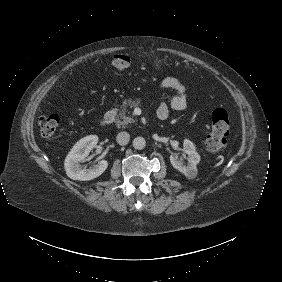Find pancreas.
<instances>
[{
  "label": "pancreas",
  "mask_w": 282,
  "mask_h": 282,
  "mask_svg": "<svg viewBox=\"0 0 282 282\" xmlns=\"http://www.w3.org/2000/svg\"><path fill=\"white\" fill-rule=\"evenodd\" d=\"M140 102V99H137L136 101L129 99L125 105H122L120 107L119 116L115 121L118 128L130 127L131 125L136 123V118L134 117L132 112L127 108V106H130V108L132 109L134 107H137Z\"/></svg>",
  "instance_id": "pancreas-1"
}]
</instances>
